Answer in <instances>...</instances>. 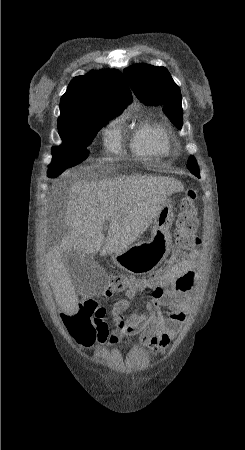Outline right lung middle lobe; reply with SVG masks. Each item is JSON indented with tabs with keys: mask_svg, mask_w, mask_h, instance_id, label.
<instances>
[{
	"mask_svg": "<svg viewBox=\"0 0 245 450\" xmlns=\"http://www.w3.org/2000/svg\"><path fill=\"white\" fill-rule=\"evenodd\" d=\"M126 107L95 104L83 111L59 117L58 131L62 144L52 151V164L47 176L55 178L66 169L76 166L88 157L86 147L108 118L120 114Z\"/></svg>",
	"mask_w": 245,
	"mask_h": 450,
	"instance_id": "obj_1",
	"label": "right lung middle lobe"
}]
</instances>
